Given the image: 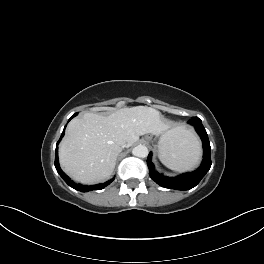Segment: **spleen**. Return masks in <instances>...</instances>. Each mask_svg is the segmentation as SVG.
<instances>
[{
    "label": "spleen",
    "instance_id": "spleen-1",
    "mask_svg": "<svg viewBox=\"0 0 264 264\" xmlns=\"http://www.w3.org/2000/svg\"><path fill=\"white\" fill-rule=\"evenodd\" d=\"M201 156V146L196 135L184 128L178 127L168 143L159 147V159L169 169L174 171L191 170Z\"/></svg>",
    "mask_w": 264,
    "mask_h": 264
}]
</instances>
